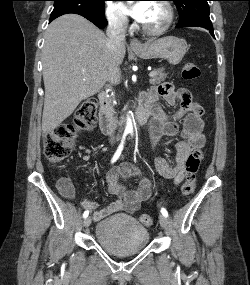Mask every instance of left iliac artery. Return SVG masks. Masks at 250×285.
Segmentation results:
<instances>
[{"label":"left iliac artery","mask_w":250,"mask_h":285,"mask_svg":"<svg viewBox=\"0 0 250 285\" xmlns=\"http://www.w3.org/2000/svg\"><path fill=\"white\" fill-rule=\"evenodd\" d=\"M161 213H162V215H164L165 217H168V212H167V210H166L165 208H162V209H161Z\"/></svg>","instance_id":"1"}]
</instances>
